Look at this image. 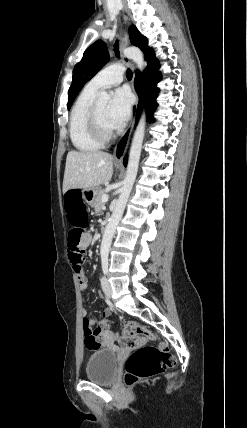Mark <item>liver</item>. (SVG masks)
Segmentation results:
<instances>
[{"label": "liver", "mask_w": 247, "mask_h": 428, "mask_svg": "<svg viewBox=\"0 0 247 428\" xmlns=\"http://www.w3.org/2000/svg\"><path fill=\"white\" fill-rule=\"evenodd\" d=\"M113 174V156L102 151L67 154L63 193L71 189H88L109 181Z\"/></svg>", "instance_id": "6515ba94"}]
</instances>
